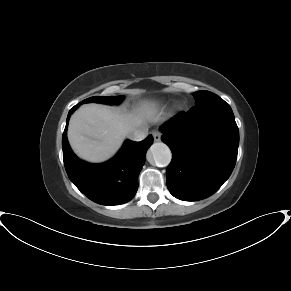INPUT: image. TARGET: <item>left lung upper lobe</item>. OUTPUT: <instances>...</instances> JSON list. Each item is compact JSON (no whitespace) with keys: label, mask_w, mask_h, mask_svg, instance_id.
<instances>
[{"label":"left lung upper lobe","mask_w":291,"mask_h":291,"mask_svg":"<svg viewBox=\"0 0 291 291\" xmlns=\"http://www.w3.org/2000/svg\"><path fill=\"white\" fill-rule=\"evenodd\" d=\"M193 96L196 100V105L218 97L216 94L209 91H197L193 93Z\"/></svg>","instance_id":"left-lung-upper-lobe-1"}]
</instances>
